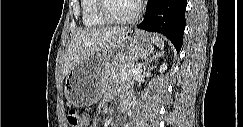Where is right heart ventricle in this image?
<instances>
[{
  "instance_id": "obj_1",
  "label": "right heart ventricle",
  "mask_w": 243,
  "mask_h": 127,
  "mask_svg": "<svg viewBox=\"0 0 243 127\" xmlns=\"http://www.w3.org/2000/svg\"><path fill=\"white\" fill-rule=\"evenodd\" d=\"M81 17L83 25L88 28H97L108 24L99 13L98 0H82Z\"/></svg>"
}]
</instances>
